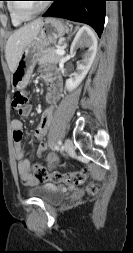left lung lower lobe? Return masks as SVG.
Segmentation results:
<instances>
[{
  "instance_id": "obj_1",
  "label": "left lung lower lobe",
  "mask_w": 133,
  "mask_h": 253,
  "mask_svg": "<svg viewBox=\"0 0 133 253\" xmlns=\"http://www.w3.org/2000/svg\"><path fill=\"white\" fill-rule=\"evenodd\" d=\"M54 1L43 16H54L82 22L94 28L100 36L105 21L107 0H52Z\"/></svg>"
}]
</instances>
